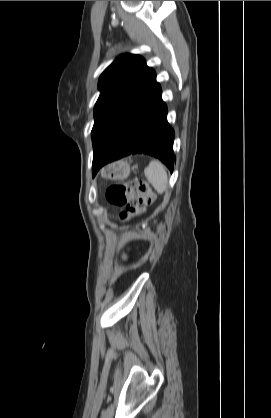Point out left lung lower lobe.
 <instances>
[{
    "mask_svg": "<svg viewBox=\"0 0 271 418\" xmlns=\"http://www.w3.org/2000/svg\"><path fill=\"white\" fill-rule=\"evenodd\" d=\"M156 83L122 119L93 157V176L105 164L130 154L159 158L172 172L174 130L167 122V107Z\"/></svg>",
    "mask_w": 271,
    "mask_h": 418,
    "instance_id": "obj_1",
    "label": "left lung lower lobe"
}]
</instances>
